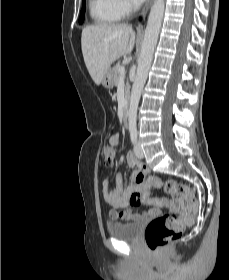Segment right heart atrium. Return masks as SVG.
<instances>
[{
	"instance_id": "obj_1",
	"label": "right heart atrium",
	"mask_w": 229,
	"mask_h": 280,
	"mask_svg": "<svg viewBox=\"0 0 229 280\" xmlns=\"http://www.w3.org/2000/svg\"><path fill=\"white\" fill-rule=\"evenodd\" d=\"M121 17H126L137 8V0H113Z\"/></svg>"
}]
</instances>
